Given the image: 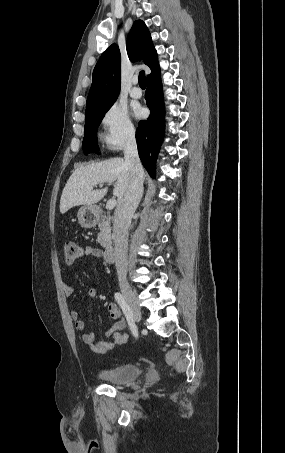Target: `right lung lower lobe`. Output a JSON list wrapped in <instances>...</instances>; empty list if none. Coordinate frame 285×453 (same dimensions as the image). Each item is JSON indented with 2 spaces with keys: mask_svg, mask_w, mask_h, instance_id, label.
I'll list each match as a JSON object with an SVG mask.
<instances>
[{
  "mask_svg": "<svg viewBox=\"0 0 285 453\" xmlns=\"http://www.w3.org/2000/svg\"><path fill=\"white\" fill-rule=\"evenodd\" d=\"M151 114L140 121L136 132L139 157L151 177H155V162L164 136V103L160 70L147 78L145 94Z\"/></svg>",
  "mask_w": 285,
  "mask_h": 453,
  "instance_id": "right-lung-lower-lobe-1",
  "label": "right lung lower lobe"
}]
</instances>
